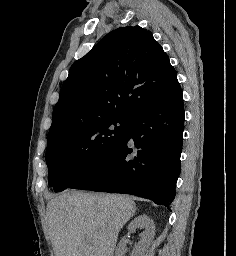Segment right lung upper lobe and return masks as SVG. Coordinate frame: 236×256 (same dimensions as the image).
<instances>
[{"mask_svg":"<svg viewBox=\"0 0 236 256\" xmlns=\"http://www.w3.org/2000/svg\"><path fill=\"white\" fill-rule=\"evenodd\" d=\"M177 85L176 71L152 33L120 27L72 65L48 137L80 123L133 119L146 103Z\"/></svg>","mask_w":236,"mask_h":256,"instance_id":"right-lung-upper-lobe-1","label":"right lung upper lobe"}]
</instances>
